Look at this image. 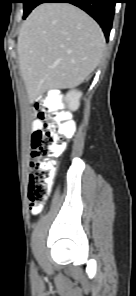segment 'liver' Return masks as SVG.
Here are the masks:
<instances>
[{
    "label": "liver",
    "mask_w": 136,
    "mask_h": 296,
    "mask_svg": "<svg viewBox=\"0 0 136 296\" xmlns=\"http://www.w3.org/2000/svg\"><path fill=\"white\" fill-rule=\"evenodd\" d=\"M105 49L100 26L68 3H42L23 22L17 43L19 70L31 101L51 89L81 84Z\"/></svg>",
    "instance_id": "1"
}]
</instances>
